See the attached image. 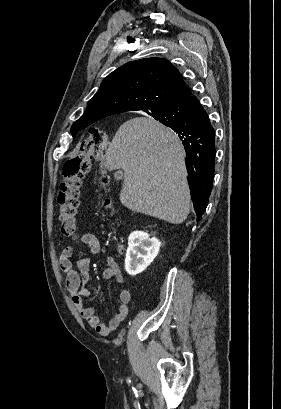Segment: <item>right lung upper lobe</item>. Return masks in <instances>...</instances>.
Masks as SVG:
<instances>
[{"instance_id": "obj_1", "label": "right lung upper lobe", "mask_w": 281, "mask_h": 409, "mask_svg": "<svg viewBox=\"0 0 281 409\" xmlns=\"http://www.w3.org/2000/svg\"><path fill=\"white\" fill-rule=\"evenodd\" d=\"M190 96L179 71L168 60L147 58L128 62L103 80L72 128L82 130L106 116L126 111L151 112Z\"/></svg>"}]
</instances>
